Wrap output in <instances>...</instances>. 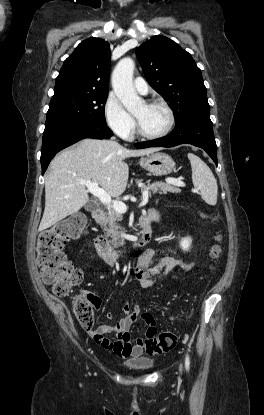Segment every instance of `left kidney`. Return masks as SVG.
<instances>
[{"label": "left kidney", "mask_w": 264, "mask_h": 415, "mask_svg": "<svg viewBox=\"0 0 264 415\" xmlns=\"http://www.w3.org/2000/svg\"><path fill=\"white\" fill-rule=\"evenodd\" d=\"M190 245H191V238L190 237H185L180 242V246L183 250H188L190 248Z\"/></svg>", "instance_id": "left-kidney-1"}]
</instances>
